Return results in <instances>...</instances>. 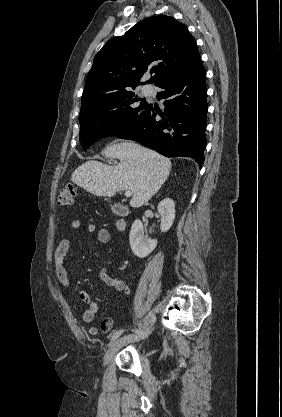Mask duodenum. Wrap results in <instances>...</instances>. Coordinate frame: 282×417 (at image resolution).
<instances>
[{"label":"duodenum","mask_w":282,"mask_h":417,"mask_svg":"<svg viewBox=\"0 0 282 417\" xmlns=\"http://www.w3.org/2000/svg\"><path fill=\"white\" fill-rule=\"evenodd\" d=\"M117 229L121 232L125 231L126 229V222L123 218L119 219L117 222Z\"/></svg>","instance_id":"1"}]
</instances>
